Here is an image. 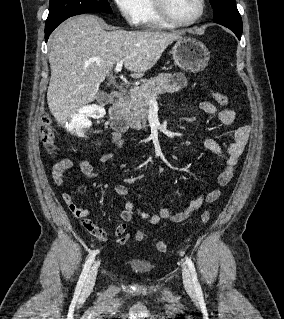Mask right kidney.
I'll return each instance as SVG.
<instances>
[{
  "instance_id": "right-kidney-1",
  "label": "right kidney",
  "mask_w": 284,
  "mask_h": 319,
  "mask_svg": "<svg viewBox=\"0 0 284 319\" xmlns=\"http://www.w3.org/2000/svg\"><path fill=\"white\" fill-rule=\"evenodd\" d=\"M103 117L105 112L103 109L98 108L96 106H83L81 107L77 113H75L70 120V123L67 125V129L79 137H84L83 128L90 125L89 117L96 116Z\"/></svg>"
}]
</instances>
